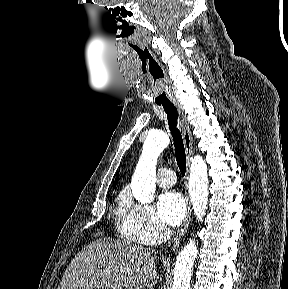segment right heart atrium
Here are the masks:
<instances>
[{
  "label": "right heart atrium",
  "instance_id": "d8ad5b80",
  "mask_svg": "<svg viewBox=\"0 0 288 289\" xmlns=\"http://www.w3.org/2000/svg\"><path fill=\"white\" fill-rule=\"evenodd\" d=\"M120 231L126 239L153 245L165 240L168 236L167 227L158 219L154 210L126 197L121 209Z\"/></svg>",
  "mask_w": 288,
  "mask_h": 289
}]
</instances>
